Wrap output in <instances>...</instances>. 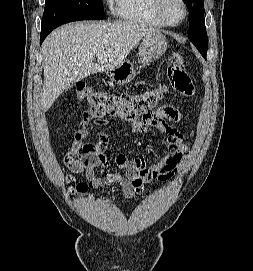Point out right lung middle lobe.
Returning a JSON list of instances; mask_svg holds the SVG:
<instances>
[{"label":"right lung middle lobe","mask_w":253,"mask_h":271,"mask_svg":"<svg viewBox=\"0 0 253 271\" xmlns=\"http://www.w3.org/2000/svg\"><path fill=\"white\" fill-rule=\"evenodd\" d=\"M104 18L102 0H46L41 33L71 21Z\"/></svg>","instance_id":"obj_1"}]
</instances>
